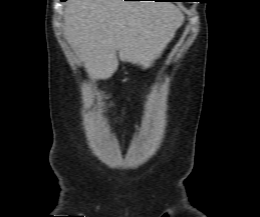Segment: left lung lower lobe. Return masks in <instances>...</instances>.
Instances as JSON below:
<instances>
[{"label": "left lung lower lobe", "instance_id": "obj_1", "mask_svg": "<svg viewBox=\"0 0 260 217\" xmlns=\"http://www.w3.org/2000/svg\"><path fill=\"white\" fill-rule=\"evenodd\" d=\"M157 1H170V0H157Z\"/></svg>", "mask_w": 260, "mask_h": 217}]
</instances>
